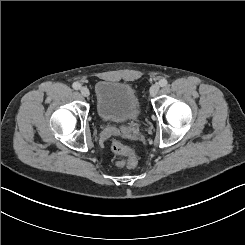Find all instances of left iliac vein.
Wrapping results in <instances>:
<instances>
[{"label":"left iliac vein","mask_w":245,"mask_h":245,"mask_svg":"<svg viewBox=\"0 0 245 245\" xmlns=\"http://www.w3.org/2000/svg\"><path fill=\"white\" fill-rule=\"evenodd\" d=\"M158 92H159V86L157 84L152 85L150 88V96L155 97Z\"/></svg>","instance_id":"left-iliac-vein-1"}]
</instances>
